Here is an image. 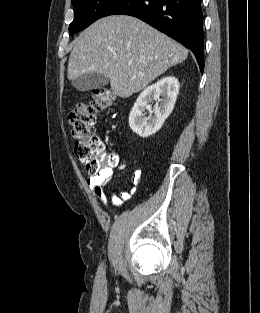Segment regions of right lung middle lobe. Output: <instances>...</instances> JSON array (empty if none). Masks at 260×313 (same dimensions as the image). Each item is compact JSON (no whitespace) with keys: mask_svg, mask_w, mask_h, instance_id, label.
Listing matches in <instances>:
<instances>
[{"mask_svg":"<svg viewBox=\"0 0 260 313\" xmlns=\"http://www.w3.org/2000/svg\"><path fill=\"white\" fill-rule=\"evenodd\" d=\"M119 0H71L74 20L69 26L70 34L81 31L92 24Z\"/></svg>","mask_w":260,"mask_h":313,"instance_id":"1","label":"right lung middle lobe"}]
</instances>
